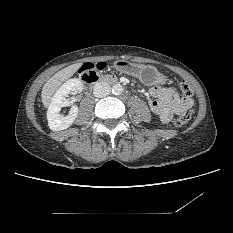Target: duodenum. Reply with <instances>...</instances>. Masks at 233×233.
<instances>
[{
    "label": "duodenum",
    "instance_id": "410a0bca",
    "mask_svg": "<svg viewBox=\"0 0 233 233\" xmlns=\"http://www.w3.org/2000/svg\"><path fill=\"white\" fill-rule=\"evenodd\" d=\"M82 81L88 86L89 89H91L94 85H96L99 82H107L110 84H119L120 81L118 78L115 77H105L102 78L98 74H82L81 75Z\"/></svg>",
    "mask_w": 233,
    "mask_h": 233
}]
</instances>
